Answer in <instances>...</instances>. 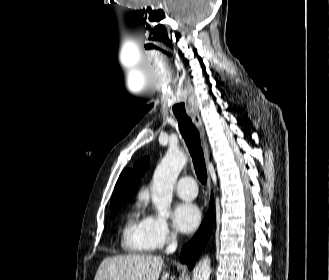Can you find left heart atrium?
Listing matches in <instances>:
<instances>
[{
    "label": "left heart atrium",
    "mask_w": 329,
    "mask_h": 280,
    "mask_svg": "<svg viewBox=\"0 0 329 280\" xmlns=\"http://www.w3.org/2000/svg\"><path fill=\"white\" fill-rule=\"evenodd\" d=\"M173 219L177 229L184 233H191L198 227L201 215L196 205L182 202L175 207Z\"/></svg>",
    "instance_id": "39dd6f15"
}]
</instances>
